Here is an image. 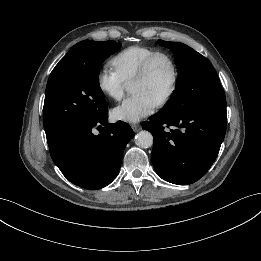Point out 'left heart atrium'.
I'll return each mask as SVG.
<instances>
[{"instance_id":"1","label":"left heart atrium","mask_w":261,"mask_h":261,"mask_svg":"<svg viewBox=\"0 0 261 261\" xmlns=\"http://www.w3.org/2000/svg\"><path fill=\"white\" fill-rule=\"evenodd\" d=\"M157 103L144 93H136L112 110L117 121L135 123L152 114Z\"/></svg>"}]
</instances>
